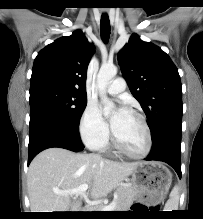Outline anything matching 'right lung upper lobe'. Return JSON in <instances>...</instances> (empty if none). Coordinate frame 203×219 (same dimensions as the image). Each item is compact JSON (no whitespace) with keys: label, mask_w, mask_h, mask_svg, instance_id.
Here are the masks:
<instances>
[{"label":"right lung upper lobe","mask_w":203,"mask_h":219,"mask_svg":"<svg viewBox=\"0 0 203 219\" xmlns=\"http://www.w3.org/2000/svg\"><path fill=\"white\" fill-rule=\"evenodd\" d=\"M92 53L93 48L81 30L59 38L38 53L30 84H58L86 95V75Z\"/></svg>","instance_id":"obj_1"}]
</instances>
